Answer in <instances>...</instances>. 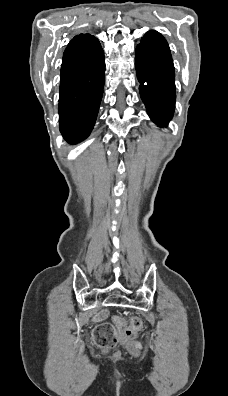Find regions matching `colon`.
Returning <instances> with one entry per match:
<instances>
[{
    "mask_svg": "<svg viewBox=\"0 0 228 396\" xmlns=\"http://www.w3.org/2000/svg\"><path fill=\"white\" fill-rule=\"evenodd\" d=\"M142 320L137 316L129 318L125 324V339L132 341L142 329ZM94 343L102 349H111L118 341V333L115 326L111 323H102L93 332Z\"/></svg>",
    "mask_w": 228,
    "mask_h": 396,
    "instance_id": "1",
    "label": "colon"
}]
</instances>
